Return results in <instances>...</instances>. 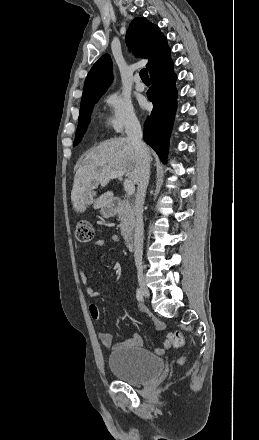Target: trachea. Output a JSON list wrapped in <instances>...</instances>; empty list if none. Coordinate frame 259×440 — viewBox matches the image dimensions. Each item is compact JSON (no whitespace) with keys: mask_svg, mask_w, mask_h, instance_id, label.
Listing matches in <instances>:
<instances>
[{"mask_svg":"<svg viewBox=\"0 0 259 440\" xmlns=\"http://www.w3.org/2000/svg\"><path fill=\"white\" fill-rule=\"evenodd\" d=\"M140 77L142 79V81H150L149 75H148V70L146 68H143L140 71Z\"/></svg>","mask_w":259,"mask_h":440,"instance_id":"3493384b","label":"trachea"}]
</instances>
